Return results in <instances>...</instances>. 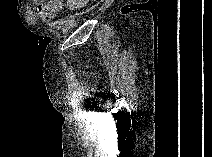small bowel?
I'll return each mask as SVG.
<instances>
[{
    "label": "small bowel",
    "mask_w": 212,
    "mask_h": 157,
    "mask_svg": "<svg viewBox=\"0 0 212 157\" xmlns=\"http://www.w3.org/2000/svg\"><path fill=\"white\" fill-rule=\"evenodd\" d=\"M85 4L84 0H51L39 1L37 4L38 14L45 19H53L57 16L60 8L68 10L78 9Z\"/></svg>",
    "instance_id": "1"
}]
</instances>
